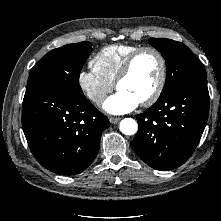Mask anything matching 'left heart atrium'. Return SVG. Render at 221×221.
<instances>
[{"mask_svg":"<svg viewBox=\"0 0 221 221\" xmlns=\"http://www.w3.org/2000/svg\"><path fill=\"white\" fill-rule=\"evenodd\" d=\"M140 102L132 95L118 91L103 104V109L110 114L120 115L134 110Z\"/></svg>","mask_w":221,"mask_h":221,"instance_id":"1","label":"left heart atrium"}]
</instances>
